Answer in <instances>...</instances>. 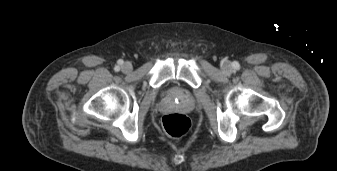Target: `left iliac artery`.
<instances>
[{"label": "left iliac artery", "mask_w": 337, "mask_h": 171, "mask_svg": "<svg viewBox=\"0 0 337 171\" xmlns=\"http://www.w3.org/2000/svg\"><path fill=\"white\" fill-rule=\"evenodd\" d=\"M233 66H234V68H238V67H239V64H238L237 62H234V63H233Z\"/></svg>", "instance_id": "44dca946"}]
</instances>
